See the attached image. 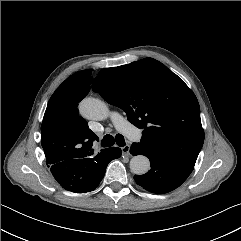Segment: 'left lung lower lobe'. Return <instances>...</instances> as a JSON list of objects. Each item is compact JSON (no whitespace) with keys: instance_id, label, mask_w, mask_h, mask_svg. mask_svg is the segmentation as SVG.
<instances>
[{"instance_id":"1","label":"left lung lower lobe","mask_w":241,"mask_h":241,"mask_svg":"<svg viewBox=\"0 0 241 241\" xmlns=\"http://www.w3.org/2000/svg\"><path fill=\"white\" fill-rule=\"evenodd\" d=\"M130 153L145 155L150 159L151 169L144 175H135L134 180L145 190L156 194H164L179 187L194 168L192 164L146 150L137 143L132 144Z\"/></svg>"}]
</instances>
